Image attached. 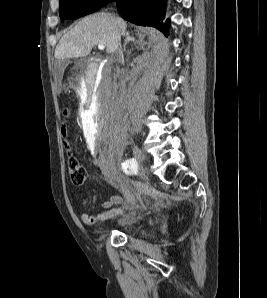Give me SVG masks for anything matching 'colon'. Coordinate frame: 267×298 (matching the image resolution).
<instances>
[{"instance_id":"5ec220e1","label":"colon","mask_w":267,"mask_h":298,"mask_svg":"<svg viewBox=\"0 0 267 298\" xmlns=\"http://www.w3.org/2000/svg\"><path fill=\"white\" fill-rule=\"evenodd\" d=\"M68 171L72 184L81 186L87 179V171L85 167L73 157L68 159Z\"/></svg>"}]
</instances>
